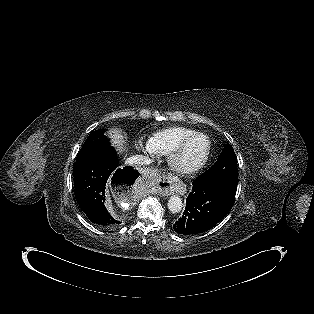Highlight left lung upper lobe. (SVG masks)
Returning a JSON list of instances; mask_svg holds the SVG:
<instances>
[{"mask_svg": "<svg viewBox=\"0 0 314 314\" xmlns=\"http://www.w3.org/2000/svg\"><path fill=\"white\" fill-rule=\"evenodd\" d=\"M199 177L214 178V177H229L238 178L237 159L233 147L230 144L225 145L222 153L216 163L201 174Z\"/></svg>", "mask_w": 314, "mask_h": 314, "instance_id": "obj_1", "label": "left lung upper lobe"}]
</instances>
